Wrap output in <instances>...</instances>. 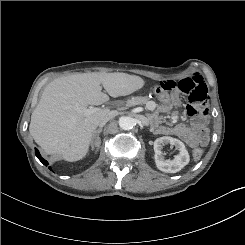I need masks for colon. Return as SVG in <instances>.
Segmentation results:
<instances>
[{"mask_svg":"<svg viewBox=\"0 0 245 245\" xmlns=\"http://www.w3.org/2000/svg\"><path fill=\"white\" fill-rule=\"evenodd\" d=\"M155 93L162 102L166 103L169 101L170 92L164 91V89L161 88L159 85L155 87ZM192 155H193L194 160L196 161L200 160L203 156V149L199 147L195 148L192 152Z\"/></svg>","mask_w":245,"mask_h":245,"instance_id":"1","label":"colon"}]
</instances>
